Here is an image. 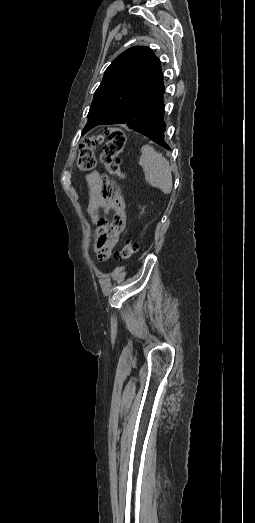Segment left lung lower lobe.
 Instances as JSON below:
<instances>
[{"mask_svg":"<svg viewBox=\"0 0 255 523\" xmlns=\"http://www.w3.org/2000/svg\"><path fill=\"white\" fill-rule=\"evenodd\" d=\"M164 129H166V124L160 121V124L156 123V125H151V127H141V130L136 129V132H142V135L148 137L151 143H155L157 146L161 145V149L167 150L169 145L165 141L166 132Z\"/></svg>","mask_w":255,"mask_h":523,"instance_id":"obj_1","label":"left lung lower lobe"}]
</instances>
